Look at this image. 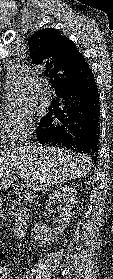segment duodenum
I'll return each mask as SVG.
<instances>
[{"mask_svg":"<svg viewBox=\"0 0 113 279\" xmlns=\"http://www.w3.org/2000/svg\"><path fill=\"white\" fill-rule=\"evenodd\" d=\"M29 210L26 207H20L16 211V220L13 229V236L21 239L25 236L29 223Z\"/></svg>","mask_w":113,"mask_h":279,"instance_id":"duodenum-1","label":"duodenum"}]
</instances>
